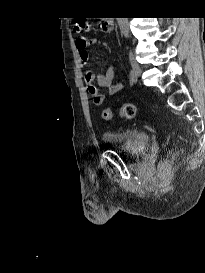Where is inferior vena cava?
<instances>
[{"label":"inferior vena cava","instance_id":"602c4592","mask_svg":"<svg viewBox=\"0 0 205 273\" xmlns=\"http://www.w3.org/2000/svg\"><path fill=\"white\" fill-rule=\"evenodd\" d=\"M121 34L129 37L128 18H117Z\"/></svg>","mask_w":205,"mask_h":273}]
</instances>
